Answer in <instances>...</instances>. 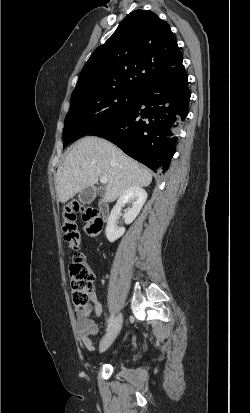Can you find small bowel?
<instances>
[{
	"label": "small bowel",
	"instance_id": "small-bowel-1",
	"mask_svg": "<svg viewBox=\"0 0 250 413\" xmlns=\"http://www.w3.org/2000/svg\"><path fill=\"white\" fill-rule=\"evenodd\" d=\"M90 298L91 303L84 308H78L75 311L74 317L76 329L82 344L88 351H93L94 345L91 336L96 335L98 332L95 318L101 315L102 305L97 300L95 290L91 292Z\"/></svg>",
	"mask_w": 250,
	"mask_h": 413
}]
</instances>
